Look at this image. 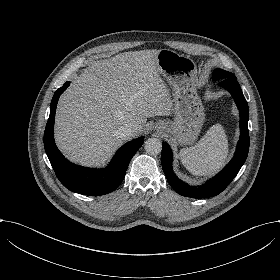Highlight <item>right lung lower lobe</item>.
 Segmentation results:
<instances>
[{"label":"right lung lower lobe","mask_w":280,"mask_h":280,"mask_svg":"<svg viewBox=\"0 0 280 280\" xmlns=\"http://www.w3.org/2000/svg\"><path fill=\"white\" fill-rule=\"evenodd\" d=\"M70 82L57 89L50 105V116L44 133V147L60 182L69 190L83 195H104L114 191L123 181L129 162L143 144V137L122 146L108 167L90 169L76 166L61 154L54 142L53 129L59 96Z\"/></svg>","instance_id":"obj_1"}]
</instances>
